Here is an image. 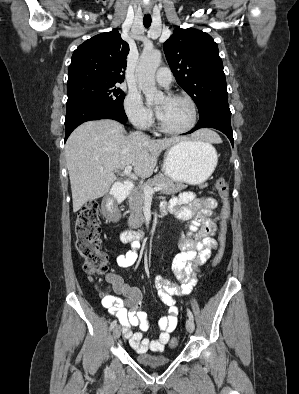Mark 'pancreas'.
<instances>
[{
  "label": "pancreas",
  "mask_w": 299,
  "mask_h": 394,
  "mask_svg": "<svg viewBox=\"0 0 299 394\" xmlns=\"http://www.w3.org/2000/svg\"><path fill=\"white\" fill-rule=\"evenodd\" d=\"M145 186L149 187H156L161 186L162 190L161 193L166 195H173L178 193L179 191L185 188V185L182 183H174L169 177L165 176L164 174H157L154 176L153 179H149L142 185L136 187L131 195L129 196V224L133 228H139L145 221V218L142 214V209L145 201V195L143 188ZM207 187V184H203L200 188Z\"/></svg>",
  "instance_id": "obj_1"
}]
</instances>
